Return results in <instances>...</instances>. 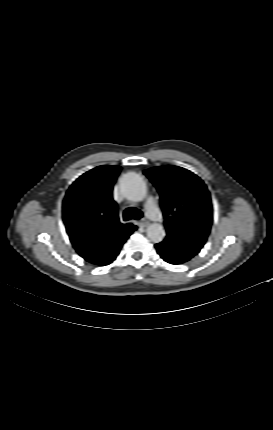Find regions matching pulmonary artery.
<instances>
[{
	"instance_id": "e3ab8cb5",
	"label": "pulmonary artery",
	"mask_w": 273,
	"mask_h": 430,
	"mask_svg": "<svg viewBox=\"0 0 273 430\" xmlns=\"http://www.w3.org/2000/svg\"><path fill=\"white\" fill-rule=\"evenodd\" d=\"M146 208L150 216L155 218H159L161 216L159 210L156 208L155 200L153 198H149L147 200Z\"/></svg>"
}]
</instances>
